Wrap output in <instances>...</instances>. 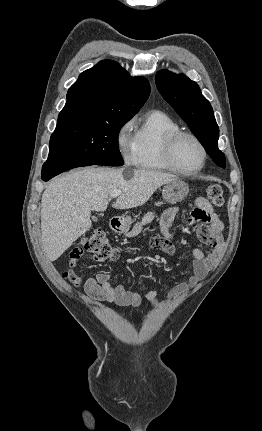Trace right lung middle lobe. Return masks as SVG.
Returning a JSON list of instances; mask_svg holds the SVG:
<instances>
[{"label": "right lung middle lobe", "mask_w": 262, "mask_h": 431, "mask_svg": "<svg viewBox=\"0 0 262 431\" xmlns=\"http://www.w3.org/2000/svg\"><path fill=\"white\" fill-rule=\"evenodd\" d=\"M128 119L79 120L57 125L50 139L46 163L84 162L94 165L124 164L118 134Z\"/></svg>", "instance_id": "1"}]
</instances>
